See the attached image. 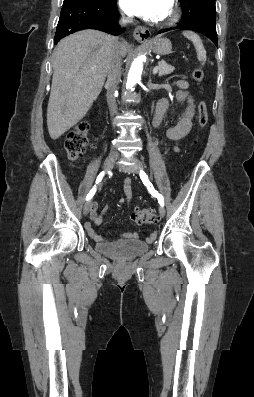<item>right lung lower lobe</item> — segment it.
Returning a JSON list of instances; mask_svg holds the SVG:
<instances>
[{"mask_svg": "<svg viewBox=\"0 0 254 397\" xmlns=\"http://www.w3.org/2000/svg\"><path fill=\"white\" fill-rule=\"evenodd\" d=\"M117 20L116 1L111 4H98L88 0H64L54 44L63 37L83 29H96L119 35L123 29Z\"/></svg>", "mask_w": 254, "mask_h": 397, "instance_id": "98d812e1", "label": "right lung lower lobe"}]
</instances>
